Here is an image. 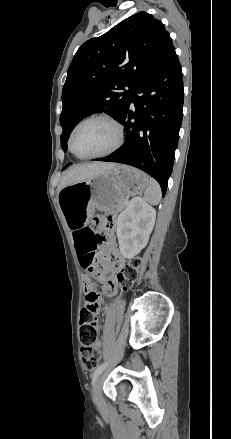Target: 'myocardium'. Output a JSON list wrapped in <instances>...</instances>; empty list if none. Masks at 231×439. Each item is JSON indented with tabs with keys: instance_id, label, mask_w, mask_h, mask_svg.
<instances>
[{
	"instance_id": "obj_1",
	"label": "myocardium",
	"mask_w": 231,
	"mask_h": 439,
	"mask_svg": "<svg viewBox=\"0 0 231 439\" xmlns=\"http://www.w3.org/2000/svg\"><path fill=\"white\" fill-rule=\"evenodd\" d=\"M94 119H102V120L109 122L114 127V129L116 131V140L110 148H108L107 150H105L103 152L96 153V154H90V155H79L74 151V148H73L74 134H75L76 130L82 124H84L85 122H88L90 120H94ZM124 138H125L124 128L118 119H116L113 115L108 114V113H103V112L93 113V114H90V115L84 117L83 119H81L73 127V129L71 130V133L69 135L68 146H69L71 153L79 159H97V158L109 156V155L113 154L114 152H116L122 146V144L124 142Z\"/></svg>"
}]
</instances>
